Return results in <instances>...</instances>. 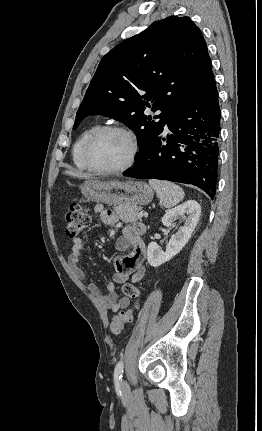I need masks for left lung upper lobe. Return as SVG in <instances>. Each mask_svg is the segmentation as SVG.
<instances>
[{
  "instance_id": "1",
  "label": "left lung upper lobe",
  "mask_w": 262,
  "mask_h": 431,
  "mask_svg": "<svg viewBox=\"0 0 262 431\" xmlns=\"http://www.w3.org/2000/svg\"><path fill=\"white\" fill-rule=\"evenodd\" d=\"M213 80L200 29L189 17H167L102 58L73 129L93 114L123 121L137 134L141 154L151 147L170 117ZM147 108L162 111L155 117L160 118L158 122L144 115Z\"/></svg>"
}]
</instances>
